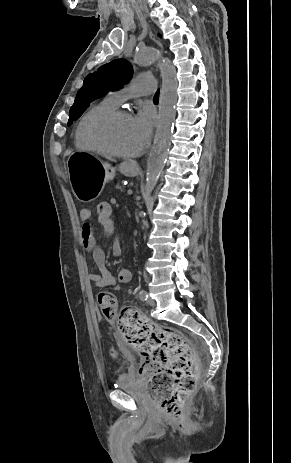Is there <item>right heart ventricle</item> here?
Returning <instances> with one entry per match:
<instances>
[{
    "label": "right heart ventricle",
    "mask_w": 291,
    "mask_h": 463,
    "mask_svg": "<svg viewBox=\"0 0 291 463\" xmlns=\"http://www.w3.org/2000/svg\"><path fill=\"white\" fill-rule=\"evenodd\" d=\"M116 108V104H114L111 99L105 98L100 102L91 106L78 120L75 130H74V141L75 145L79 149L88 150V151H95L93 146H91L86 138H85V128L88 122L98 115L105 114L110 112Z\"/></svg>",
    "instance_id": "right-heart-ventricle-1"
}]
</instances>
